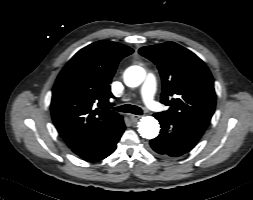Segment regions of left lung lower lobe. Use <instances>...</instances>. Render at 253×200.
<instances>
[{
    "mask_svg": "<svg viewBox=\"0 0 253 200\" xmlns=\"http://www.w3.org/2000/svg\"><path fill=\"white\" fill-rule=\"evenodd\" d=\"M160 122L158 137L150 141L153 151L163 157H177L190 151L199 141L205 127L163 112L154 114Z\"/></svg>",
    "mask_w": 253,
    "mask_h": 200,
    "instance_id": "1",
    "label": "left lung lower lobe"
}]
</instances>
